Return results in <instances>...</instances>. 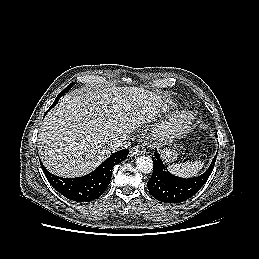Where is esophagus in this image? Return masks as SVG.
I'll return each instance as SVG.
<instances>
[{"mask_svg": "<svg viewBox=\"0 0 259 259\" xmlns=\"http://www.w3.org/2000/svg\"><path fill=\"white\" fill-rule=\"evenodd\" d=\"M145 153V148L141 145L134 146L130 151L131 157H136Z\"/></svg>", "mask_w": 259, "mask_h": 259, "instance_id": "34e87169", "label": "esophagus"}]
</instances>
